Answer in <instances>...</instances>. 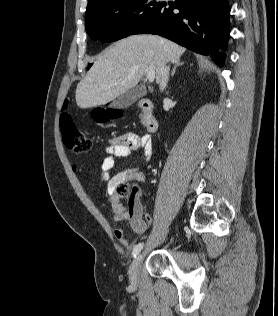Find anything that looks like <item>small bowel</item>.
<instances>
[{
  "instance_id": "1",
  "label": "small bowel",
  "mask_w": 278,
  "mask_h": 316,
  "mask_svg": "<svg viewBox=\"0 0 278 316\" xmlns=\"http://www.w3.org/2000/svg\"><path fill=\"white\" fill-rule=\"evenodd\" d=\"M137 150L143 151L147 162L150 160L152 155V141L149 135H138L132 132L125 133L118 137L111 138L109 144L104 148L105 157L101 164L100 181L105 184L107 194L114 203H116L115 190L119 185L132 181H145V175L140 172L137 167L127 168L110 176L115 166L116 158L128 157L133 151ZM73 170L77 172L78 168L73 166ZM117 208L118 210L114 214L113 220L115 222L128 221L133 232L137 235L143 234L147 226L153 221L151 216H143L140 191L137 189L132 192L126 210L120 209L119 207ZM114 235L123 246L131 247V242L122 228H115Z\"/></svg>"
}]
</instances>
